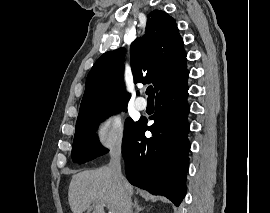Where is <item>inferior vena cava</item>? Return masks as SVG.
<instances>
[{
    "instance_id": "inferior-vena-cava-1",
    "label": "inferior vena cava",
    "mask_w": 270,
    "mask_h": 213,
    "mask_svg": "<svg viewBox=\"0 0 270 213\" xmlns=\"http://www.w3.org/2000/svg\"><path fill=\"white\" fill-rule=\"evenodd\" d=\"M120 159H121V150L115 149L111 153V160L109 162V168L111 170L113 177L119 182V184L123 185L125 183V179H124L122 172H121ZM131 205H132L131 199L129 198V199H127L126 213H132Z\"/></svg>"
}]
</instances>
